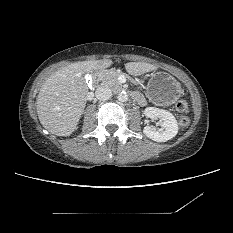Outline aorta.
Segmentation results:
<instances>
[{
  "label": "aorta",
  "instance_id": "1",
  "mask_svg": "<svg viewBox=\"0 0 233 233\" xmlns=\"http://www.w3.org/2000/svg\"><path fill=\"white\" fill-rule=\"evenodd\" d=\"M117 98L120 102H126L128 100V94L126 92H120Z\"/></svg>",
  "mask_w": 233,
  "mask_h": 233
}]
</instances>
